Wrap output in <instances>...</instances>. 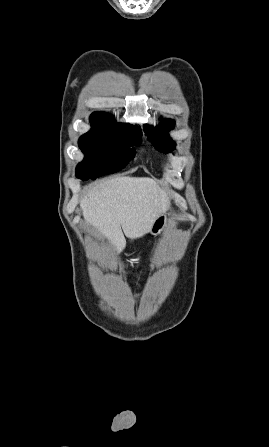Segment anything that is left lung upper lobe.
I'll return each mask as SVG.
<instances>
[{
  "label": "left lung upper lobe",
  "instance_id": "left-lung-upper-lobe-1",
  "mask_svg": "<svg viewBox=\"0 0 269 447\" xmlns=\"http://www.w3.org/2000/svg\"><path fill=\"white\" fill-rule=\"evenodd\" d=\"M174 127V121L171 119L163 120L158 127L144 125V131L148 139L156 145V148L162 152H169L175 148L174 142L169 137L167 131Z\"/></svg>",
  "mask_w": 269,
  "mask_h": 447
}]
</instances>
